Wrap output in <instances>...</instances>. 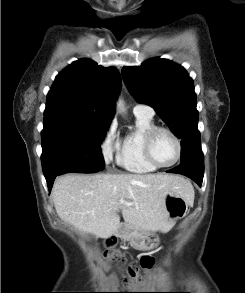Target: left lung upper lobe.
<instances>
[{
    "label": "left lung upper lobe",
    "instance_id": "obj_1",
    "mask_svg": "<svg viewBox=\"0 0 245 293\" xmlns=\"http://www.w3.org/2000/svg\"><path fill=\"white\" fill-rule=\"evenodd\" d=\"M122 75L131 94L152 106L181 139V164L203 168L196 94L186 70L169 60L151 58L139 67H124Z\"/></svg>",
    "mask_w": 245,
    "mask_h": 293
}]
</instances>
